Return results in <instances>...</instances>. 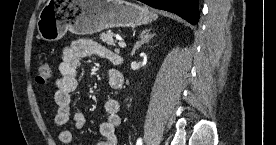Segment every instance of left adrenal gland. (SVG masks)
Instances as JSON below:
<instances>
[{
  "mask_svg": "<svg viewBox=\"0 0 276 145\" xmlns=\"http://www.w3.org/2000/svg\"><path fill=\"white\" fill-rule=\"evenodd\" d=\"M151 29L143 30L139 36L140 40L136 42V44L133 47L132 55L135 54V51L139 49L143 44L149 43V41L154 37L155 34L150 33Z\"/></svg>",
  "mask_w": 276,
  "mask_h": 145,
  "instance_id": "obj_1",
  "label": "left adrenal gland"
}]
</instances>
